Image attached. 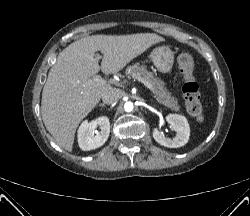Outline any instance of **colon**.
<instances>
[{
	"label": "colon",
	"mask_w": 250,
	"mask_h": 216,
	"mask_svg": "<svg viewBox=\"0 0 250 216\" xmlns=\"http://www.w3.org/2000/svg\"><path fill=\"white\" fill-rule=\"evenodd\" d=\"M177 65L183 76L182 93L188 113L198 122L204 121L200 101V87L194 76V59L189 52L183 51L177 57Z\"/></svg>",
	"instance_id": "obj_1"
}]
</instances>
